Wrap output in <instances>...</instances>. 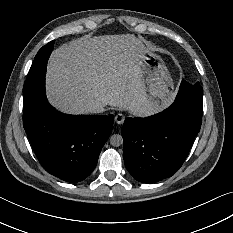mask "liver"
Instances as JSON below:
<instances>
[{
	"mask_svg": "<svg viewBox=\"0 0 233 233\" xmlns=\"http://www.w3.org/2000/svg\"><path fill=\"white\" fill-rule=\"evenodd\" d=\"M136 41L133 34L83 35L55 48L45 75L49 105L68 115H88L97 102L151 115L133 59Z\"/></svg>",
	"mask_w": 233,
	"mask_h": 233,
	"instance_id": "obj_1",
	"label": "liver"
}]
</instances>
